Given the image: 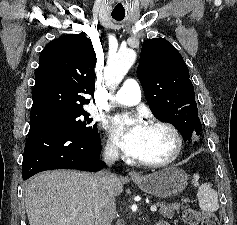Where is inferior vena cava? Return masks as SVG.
<instances>
[{
    "mask_svg": "<svg viewBox=\"0 0 237 225\" xmlns=\"http://www.w3.org/2000/svg\"><path fill=\"white\" fill-rule=\"evenodd\" d=\"M118 148L107 144L103 153V161L113 165L118 159ZM117 181L115 174L102 171L96 174V185L93 191L95 225H111L116 213L113 184Z\"/></svg>",
    "mask_w": 237,
    "mask_h": 225,
    "instance_id": "602c4592",
    "label": "inferior vena cava"
}]
</instances>
